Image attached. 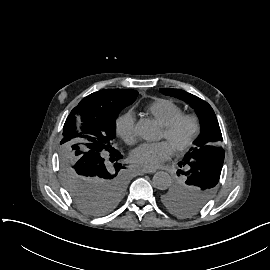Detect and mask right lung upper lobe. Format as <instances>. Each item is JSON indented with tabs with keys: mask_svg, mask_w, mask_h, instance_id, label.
Listing matches in <instances>:
<instances>
[{
	"mask_svg": "<svg viewBox=\"0 0 270 270\" xmlns=\"http://www.w3.org/2000/svg\"><path fill=\"white\" fill-rule=\"evenodd\" d=\"M118 89H105V90H101L98 91L100 92V94H102L104 97H114L117 93Z\"/></svg>",
	"mask_w": 270,
	"mask_h": 270,
	"instance_id": "right-lung-upper-lobe-1",
	"label": "right lung upper lobe"
}]
</instances>
